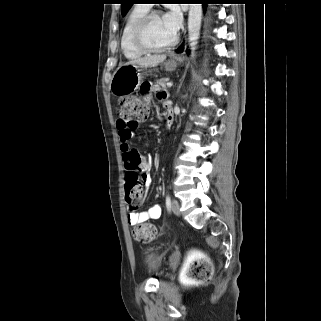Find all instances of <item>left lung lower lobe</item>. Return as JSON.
Wrapping results in <instances>:
<instances>
[{"label":"left lung lower lobe","mask_w":321,"mask_h":321,"mask_svg":"<svg viewBox=\"0 0 321 321\" xmlns=\"http://www.w3.org/2000/svg\"><path fill=\"white\" fill-rule=\"evenodd\" d=\"M204 5V12L206 11L207 4H209V0H199ZM184 50V44H181L177 49L176 52H182Z\"/></svg>","instance_id":"left-lung-lower-lobe-1"}]
</instances>
